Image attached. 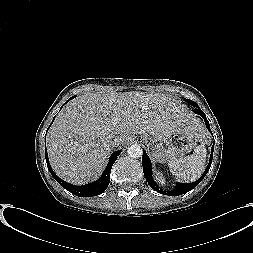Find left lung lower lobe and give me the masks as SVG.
Returning a JSON list of instances; mask_svg holds the SVG:
<instances>
[{
	"mask_svg": "<svg viewBox=\"0 0 253 253\" xmlns=\"http://www.w3.org/2000/svg\"><path fill=\"white\" fill-rule=\"evenodd\" d=\"M189 103L195 107V109L193 111L196 114H199L200 116L203 117L207 129L211 132L209 122H208L205 114L203 113V111L199 108V106L195 102H189ZM211 134H212V132H211ZM213 149H214V144L212 146V152H211V156H210V162H209V164H208L205 172L203 173V175L197 181H195L193 183H188V184L179 183V184H177L176 189L174 191H172V192H167V191L162 190V188H160L159 185H157V183L153 180L151 161H150L148 155L146 154V152L143 150L142 165H143L144 176H145L148 184L154 190H156L157 192H159L161 194L169 195V196H179V195H182L184 193L189 192L194 187H196L202 181V179L205 177V175L209 171L211 163H212Z\"/></svg>",
	"mask_w": 253,
	"mask_h": 253,
	"instance_id": "1",
	"label": "left lung lower lobe"
}]
</instances>
